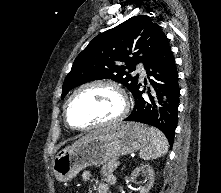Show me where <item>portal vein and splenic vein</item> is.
<instances>
[{
    "instance_id": "portal-vein-and-splenic-vein-1",
    "label": "portal vein and splenic vein",
    "mask_w": 221,
    "mask_h": 193,
    "mask_svg": "<svg viewBox=\"0 0 221 193\" xmlns=\"http://www.w3.org/2000/svg\"><path fill=\"white\" fill-rule=\"evenodd\" d=\"M120 164H121V163L118 161V162H117V165L119 166Z\"/></svg>"
}]
</instances>
